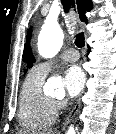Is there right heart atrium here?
<instances>
[{
	"mask_svg": "<svg viewBox=\"0 0 116 134\" xmlns=\"http://www.w3.org/2000/svg\"><path fill=\"white\" fill-rule=\"evenodd\" d=\"M54 106L56 111H60L65 108V102L63 100H55Z\"/></svg>",
	"mask_w": 116,
	"mask_h": 134,
	"instance_id": "1",
	"label": "right heart atrium"
}]
</instances>
